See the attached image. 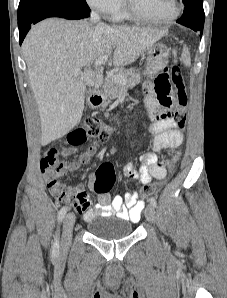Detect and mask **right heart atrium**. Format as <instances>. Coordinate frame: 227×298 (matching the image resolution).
<instances>
[{"mask_svg": "<svg viewBox=\"0 0 227 298\" xmlns=\"http://www.w3.org/2000/svg\"><path fill=\"white\" fill-rule=\"evenodd\" d=\"M87 4L106 16H113L121 8V0H86Z\"/></svg>", "mask_w": 227, "mask_h": 298, "instance_id": "1", "label": "right heart atrium"}]
</instances>
